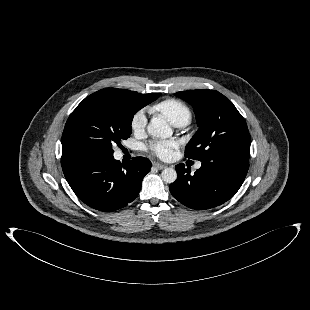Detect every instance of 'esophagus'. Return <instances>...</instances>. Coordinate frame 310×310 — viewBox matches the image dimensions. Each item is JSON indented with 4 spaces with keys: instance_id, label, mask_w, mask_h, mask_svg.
Returning <instances> with one entry per match:
<instances>
[{
    "instance_id": "34e87169",
    "label": "esophagus",
    "mask_w": 310,
    "mask_h": 310,
    "mask_svg": "<svg viewBox=\"0 0 310 310\" xmlns=\"http://www.w3.org/2000/svg\"><path fill=\"white\" fill-rule=\"evenodd\" d=\"M153 166L156 167V168L159 169V170H162V169H164V168L166 167L164 164L157 163V162H155V163L153 164Z\"/></svg>"
}]
</instances>
